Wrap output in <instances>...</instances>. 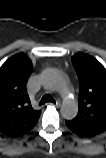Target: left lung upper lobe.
Returning a JSON list of instances; mask_svg holds the SVG:
<instances>
[{"label": "left lung upper lobe", "mask_w": 106, "mask_h": 158, "mask_svg": "<svg viewBox=\"0 0 106 158\" xmlns=\"http://www.w3.org/2000/svg\"><path fill=\"white\" fill-rule=\"evenodd\" d=\"M79 84L77 116L65 121L68 128L83 137L106 130V69L94 57L77 53L72 57Z\"/></svg>", "instance_id": "obj_1"}]
</instances>
